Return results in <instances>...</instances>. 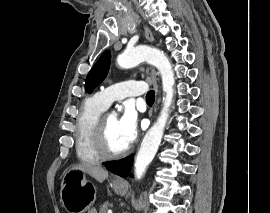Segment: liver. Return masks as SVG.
Here are the masks:
<instances>
[{"label": "liver", "instance_id": "liver-1", "mask_svg": "<svg viewBox=\"0 0 270 213\" xmlns=\"http://www.w3.org/2000/svg\"><path fill=\"white\" fill-rule=\"evenodd\" d=\"M71 169L80 170L84 173H87L100 183H102L108 177V171L98 165L82 163L73 166Z\"/></svg>", "mask_w": 270, "mask_h": 213}]
</instances>
